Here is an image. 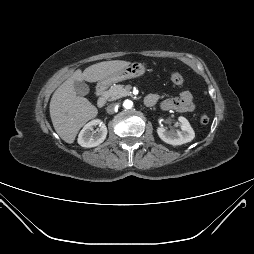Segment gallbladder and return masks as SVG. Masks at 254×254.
I'll list each match as a JSON object with an SVG mask.
<instances>
[{
	"label": "gallbladder",
	"instance_id": "bac80fb5",
	"mask_svg": "<svg viewBox=\"0 0 254 254\" xmlns=\"http://www.w3.org/2000/svg\"><path fill=\"white\" fill-rule=\"evenodd\" d=\"M75 92L79 96H85L89 93V86L84 82L76 81L74 83Z\"/></svg>",
	"mask_w": 254,
	"mask_h": 254
}]
</instances>
